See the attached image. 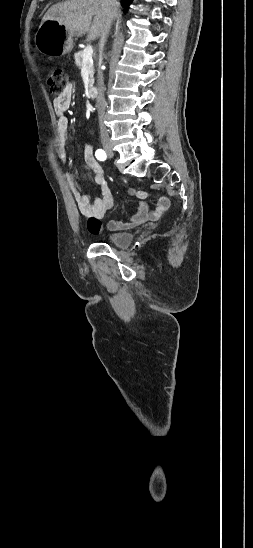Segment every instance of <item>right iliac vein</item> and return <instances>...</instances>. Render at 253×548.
<instances>
[{
    "instance_id": "63e3f726",
    "label": "right iliac vein",
    "mask_w": 253,
    "mask_h": 548,
    "mask_svg": "<svg viewBox=\"0 0 253 548\" xmlns=\"http://www.w3.org/2000/svg\"><path fill=\"white\" fill-rule=\"evenodd\" d=\"M103 147H104V150L106 151V153H107L110 157H113V156H114V151H113V148H112V146H111L110 143H108V142L104 143Z\"/></svg>"
}]
</instances>
